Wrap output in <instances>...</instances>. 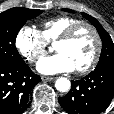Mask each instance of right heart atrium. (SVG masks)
I'll return each mask as SVG.
<instances>
[{"label": "right heart atrium", "instance_id": "right-heart-atrium-1", "mask_svg": "<svg viewBox=\"0 0 114 114\" xmlns=\"http://www.w3.org/2000/svg\"><path fill=\"white\" fill-rule=\"evenodd\" d=\"M47 42L41 33L33 27L23 26L15 37V47L23 59L35 63L47 52Z\"/></svg>", "mask_w": 114, "mask_h": 114}]
</instances>
